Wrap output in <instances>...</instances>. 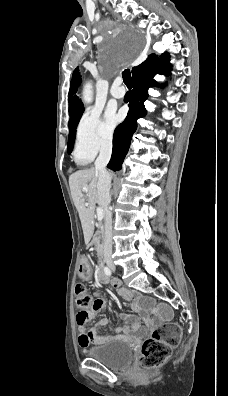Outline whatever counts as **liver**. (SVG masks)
Listing matches in <instances>:
<instances>
[{
  "label": "liver",
  "mask_w": 228,
  "mask_h": 396,
  "mask_svg": "<svg viewBox=\"0 0 228 396\" xmlns=\"http://www.w3.org/2000/svg\"><path fill=\"white\" fill-rule=\"evenodd\" d=\"M98 171L96 168L79 170L69 177V185L74 205L79 213L81 224L85 233V240L89 241L93 230V213L95 204L102 207L101 199L97 190ZM87 198H85L83 191Z\"/></svg>",
  "instance_id": "obj_1"
}]
</instances>
